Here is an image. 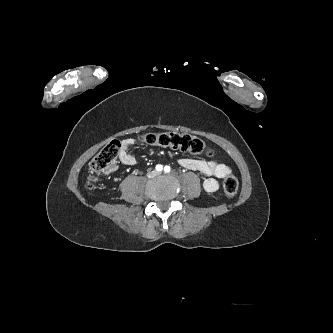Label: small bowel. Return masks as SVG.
<instances>
[{
    "label": "small bowel",
    "instance_id": "obj_1",
    "mask_svg": "<svg viewBox=\"0 0 333 333\" xmlns=\"http://www.w3.org/2000/svg\"><path fill=\"white\" fill-rule=\"evenodd\" d=\"M135 141L133 138H125L121 141L119 159L123 165L134 166L137 161L131 153ZM178 163L185 169L197 171L207 176L203 181V189L209 194L218 191L217 179L225 178L231 172L230 168L216 159L179 158Z\"/></svg>",
    "mask_w": 333,
    "mask_h": 333
}]
</instances>
